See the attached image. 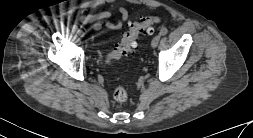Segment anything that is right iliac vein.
<instances>
[{"mask_svg":"<svg viewBox=\"0 0 253 138\" xmlns=\"http://www.w3.org/2000/svg\"><path fill=\"white\" fill-rule=\"evenodd\" d=\"M76 34H77L78 36H83L84 31H83L82 29H78V30L76 31Z\"/></svg>","mask_w":253,"mask_h":138,"instance_id":"1","label":"right iliac vein"}]
</instances>
